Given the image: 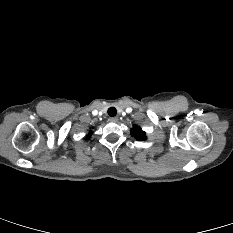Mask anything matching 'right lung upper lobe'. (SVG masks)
Segmentation results:
<instances>
[{"label":"right lung upper lobe","instance_id":"right-lung-upper-lobe-1","mask_svg":"<svg viewBox=\"0 0 233 233\" xmlns=\"http://www.w3.org/2000/svg\"><path fill=\"white\" fill-rule=\"evenodd\" d=\"M92 131L89 132V135H91Z\"/></svg>","mask_w":233,"mask_h":233}]
</instances>
